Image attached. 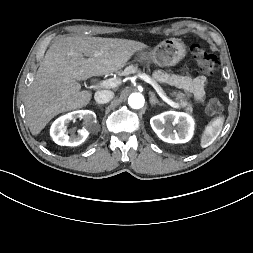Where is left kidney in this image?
<instances>
[{"mask_svg": "<svg viewBox=\"0 0 253 253\" xmlns=\"http://www.w3.org/2000/svg\"><path fill=\"white\" fill-rule=\"evenodd\" d=\"M150 124L158 137L167 143H186L193 135L194 121L183 112L167 111L150 119ZM176 128L172 131L170 125Z\"/></svg>", "mask_w": 253, "mask_h": 253, "instance_id": "obj_1", "label": "left kidney"}]
</instances>
